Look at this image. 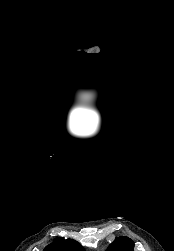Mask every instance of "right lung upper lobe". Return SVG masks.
Instances as JSON below:
<instances>
[{
    "label": "right lung upper lobe",
    "instance_id": "obj_1",
    "mask_svg": "<svg viewBox=\"0 0 174 251\" xmlns=\"http://www.w3.org/2000/svg\"><path fill=\"white\" fill-rule=\"evenodd\" d=\"M43 251H85L84 248L75 240L55 238L51 244L45 247Z\"/></svg>",
    "mask_w": 174,
    "mask_h": 251
}]
</instances>
